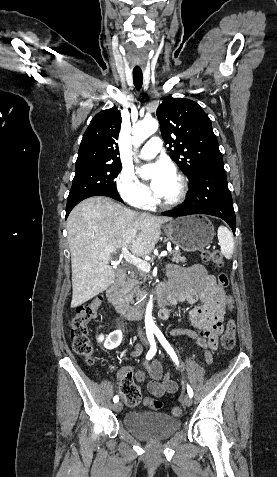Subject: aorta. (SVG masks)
Masks as SVG:
<instances>
[{"label": "aorta", "mask_w": 277, "mask_h": 477, "mask_svg": "<svg viewBox=\"0 0 277 477\" xmlns=\"http://www.w3.org/2000/svg\"><path fill=\"white\" fill-rule=\"evenodd\" d=\"M158 129V121L154 118L143 119L133 126L132 129V143L135 147H138L144 140L154 134ZM152 299L149 301L146 314L145 324L148 328H155V323L152 317Z\"/></svg>", "instance_id": "762f6f07"}]
</instances>
